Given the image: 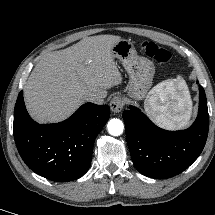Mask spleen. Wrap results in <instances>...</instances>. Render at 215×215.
Wrapping results in <instances>:
<instances>
[{"label": "spleen", "mask_w": 215, "mask_h": 215, "mask_svg": "<svg viewBox=\"0 0 215 215\" xmlns=\"http://www.w3.org/2000/svg\"><path fill=\"white\" fill-rule=\"evenodd\" d=\"M145 111L159 125L167 129L187 126L191 100L185 81L178 77L156 85L145 100Z\"/></svg>", "instance_id": "3e777b00"}]
</instances>
